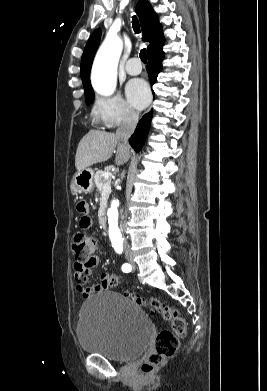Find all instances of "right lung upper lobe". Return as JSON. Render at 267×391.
Wrapping results in <instances>:
<instances>
[{"mask_svg":"<svg viewBox=\"0 0 267 391\" xmlns=\"http://www.w3.org/2000/svg\"><path fill=\"white\" fill-rule=\"evenodd\" d=\"M136 13L139 16L140 24L143 33V40L150 42L148 46V56L157 52L162 48L165 42L163 36L162 27L159 23L156 13L153 11L151 5L147 0H140L136 5ZM101 39V30H95L90 36L86 47L84 49L80 73L85 88V93L88 91H93L90 83V70L93 62V58L97 47Z\"/></svg>","mask_w":267,"mask_h":391,"instance_id":"right-lung-upper-lobe-1","label":"right lung upper lobe"}]
</instances>
